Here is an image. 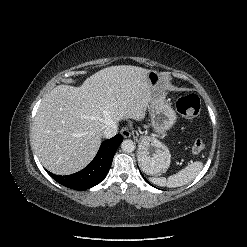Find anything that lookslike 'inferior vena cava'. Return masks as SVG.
Instances as JSON below:
<instances>
[{
	"label": "inferior vena cava",
	"mask_w": 247,
	"mask_h": 247,
	"mask_svg": "<svg viewBox=\"0 0 247 247\" xmlns=\"http://www.w3.org/2000/svg\"><path fill=\"white\" fill-rule=\"evenodd\" d=\"M117 124L115 122L110 123L107 128L103 131V136L105 138H112L117 134Z\"/></svg>",
	"instance_id": "1"
}]
</instances>
